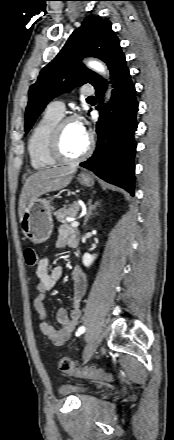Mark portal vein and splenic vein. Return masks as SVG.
<instances>
[{"instance_id":"obj_1","label":"portal vein and splenic vein","mask_w":174,"mask_h":440,"mask_svg":"<svg viewBox=\"0 0 174 440\" xmlns=\"http://www.w3.org/2000/svg\"><path fill=\"white\" fill-rule=\"evenodd\" d=\"M72 227H78L79 226V222L78 221H73L70 224Z\"/></svg>"}]
</instances>
